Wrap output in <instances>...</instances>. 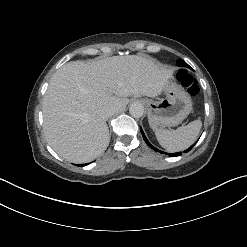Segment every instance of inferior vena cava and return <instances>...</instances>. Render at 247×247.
Listing matches in <instances>:
<instances>
[{"label":"inferior vena cava","instance_id":"1","mask_svg":"<svg viewBox=\"0 0 247 247\" xmlns=\"http://www.w3.org/2000/svg\"><path fill=\"white\" fill-rule=\"evenodd\" d=\"M116 112L115 108H110V107H106L102 110V115L104 118H109L110 116H112L114 113Z\"/></svg>","mask_w":247,"mask_h":247}]
</instances>
